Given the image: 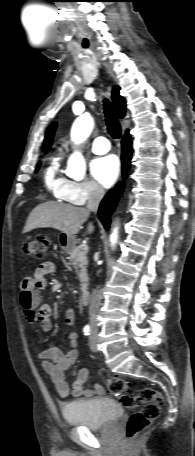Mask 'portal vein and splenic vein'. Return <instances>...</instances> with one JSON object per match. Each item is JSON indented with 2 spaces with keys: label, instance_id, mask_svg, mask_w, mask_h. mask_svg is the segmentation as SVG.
<instances>
[{
  "label": "portal vein and splenic vein",
  "instance_id": "obj_1",
  "mask_svg": "<svg viewBox=\"0 0 195 456\" xmlns=\"http://www.w3.org/2000/svg\"><path fill=\"white\" fill-rule=\"evenodd\" d=\"M83 250L88 251V246L87 245H81L80 246Z\"/></svg>",
  "mask_w": 195,
  "mask_h": 456
}]
</instances>
